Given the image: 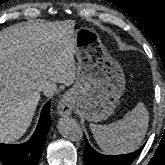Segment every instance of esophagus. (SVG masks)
I'll use <instances>...</instances> for the list:
<instances>
[{
  "label": "esophagus",
  "mask_w": 165,
  "mask_h": 165,
  "mask_svg": "<svg viewBox=\"0 0 165 165\" xmlns=\"http://www.w3.org/2000/svg\"><path fill=\"white\" fill-rule=\"evenodd\" d=\"M59 113L61 116L67 117L73 109V97L71 93H66L59 103Z\"/></svg>",
  "instance_id": "34e87169"
}]
</instances>
